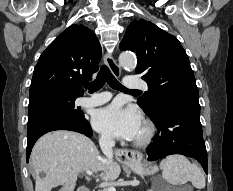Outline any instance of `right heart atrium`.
Wrapping results in <instances>:
<instances>
[{"mask_svg": "<svg viewBox=\"0 0 233 191\" xmlns=\"http://www.w3.org/2000/svg\"><path fill=\"white\" fill-rule=\"evenodd\" d=\"M100 143L103 146H107V145H109L111 143V141L107 136L103 135V136L100 137Z\"/></svg>", "mask_w": 233, "mask_h": 191, "instance_id": "d8ad5b80", "label": "right heart atrium"}]
</instances>
